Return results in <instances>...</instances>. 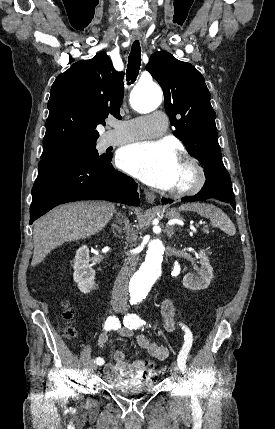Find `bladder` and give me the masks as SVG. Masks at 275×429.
I'll use <instances>...</instances> for the list:
<instances>
[{"instance_id": "obj_1", "label": "bladder", "mask_w": 275, "mask_h": 429, "mask_svg": "<svg viewBox=\"0 0 275 429\" xmlns=\"http://www.w3.org/2000/svg\"><path fill=\"white\" fill-rule=\"evenodd\" d=\"M114 387V393H120L121 398H138L139 393H153V384H148L147 378H119L118 381H108Z\"/></svg>"}]
</instances>
